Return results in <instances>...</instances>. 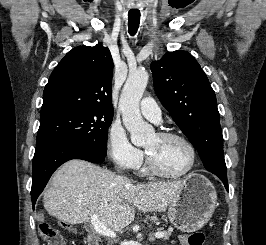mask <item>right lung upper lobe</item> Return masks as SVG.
I'll return each instance as SVG.
<instances>
[{"label":"right lung upper lobe","instance_id":"1","mask_svg":"<svg viewBox=\"0 0 266 245\" xmlns=\"http://www.w3.org/2000/svg\"><path fill=\"white\" fill-rule=\"evenodd\" d=\"M112 73L110 51L102 44L73 48L55 67L45 86L40 120L87 107L113 111Z\"/></svg>","mask_w":266,"mask_h":245}]
</instances>
